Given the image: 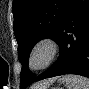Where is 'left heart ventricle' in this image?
<instances>
[{
	"mask_svg": "<svg viewBox=\"0 0 89 89\" xmlns=\"http://www.w3.org/2000/svg\"><path fill=\"white\" fill-rule=\"evenodd\" d=\"M46 57H47V49L46 48L38 49L33 56V65L34 66L42 65L46 60Z\"/></svg>",
	"mask_w": 89,
	"mask_h": 89,
	"instance_id": "b2bd125f",
	"label": "left heart ventricle"
}]
</instances>
